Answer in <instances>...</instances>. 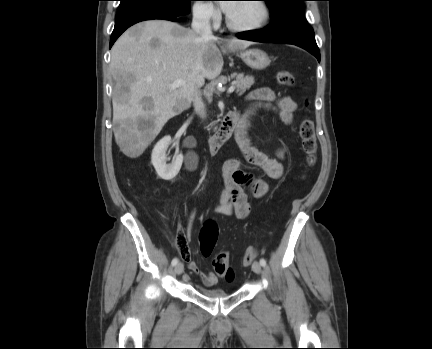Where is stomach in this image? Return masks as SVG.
<instances>
[{"label":"stomach","instance_id":"1","mask_svg":"<svg viewBox=\"0 0 432 349\" xmlns=\"http://www.w3.org/2000/svg\"><path fill=\"white\" fill-rule=\"evenodd\" d=\"M241 59L249 67L257 70L265 69L270 65V58L260 49H249L240 53Z\"/></svg>","mask_w":432,"mask_h":349}]
</instances>
